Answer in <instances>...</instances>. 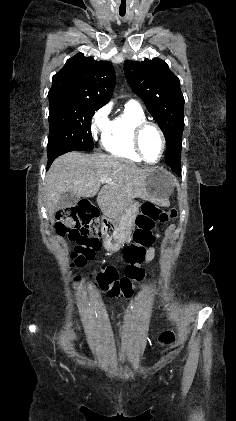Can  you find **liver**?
Here are the masks:
<instances>
[{"label": "liver", "mask_w": 236, "mask_h": 421, "mask_svg": "<svg viewBox=\"0 0 236 421\" xmlns=\"http://www.w3.org/2000/svg\"><path fill=\"white\" fill-rule=\"evenodd\" d=\"M101 176H108L110 182H102ZM147 176L146 168L112 154L66 152L55 158L46 174L45 200L50 223H54L55 206L63 192L77 196H95L98 192L97 204L103 215L117 219L132 198L151 200Z\"/></svg>", "instance_id": "liver-1"}]
</instances>
